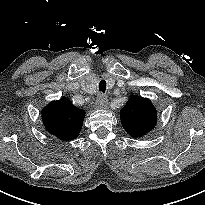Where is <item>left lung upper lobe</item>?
<instances>
[{
	"instance_id": "1",
	"label": "left lung upper lobe",
	"mask_w": 205,
	"mask_h": 205,
	"mask_svg": "<svg viewBox=\"0 0 205 205\" xmlns=\"http://www.w3.org/2000/svg\"><path fill=\"white\" fill-rule=\"evenodd\" d=\"M120 113L123 128L135 138L150 132L157 124L156 109L147 98L131 96Z\"/></svg>"
}]
</instances>
